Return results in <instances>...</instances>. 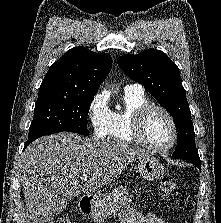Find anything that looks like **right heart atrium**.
I'll return each mask as SVG.
<instances>
[{"label": "right heart atrium", "instance_id": "d8ad5b80", "mask_svg": "<svg viewBox=\"0 0 221 223\" xmlns=\"http://www.w3.org/2000/svg\"><path fill=\"white\" fill-rule=\"evenodd\" d=\"M109 116L110 110L107 106L106 95L97 93L91 99L87 110L88 121L95 137L104 138L107 136Z\"/></svg>", "mask_w": 221, "mask_h": 223}]
</instances>
